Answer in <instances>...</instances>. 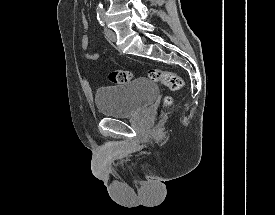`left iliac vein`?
I'll return each instance as SVG.
<instances>
[{
    "label": "left iliac vein",
    "mask_w": 275,
    "mask_h": 215,
    "mask_svg": "<svg viewBox=\"0 0 275 215\" xmlns=\"http://www.w3.org/2000/svg\"><path fill=\"white\" fill-rule=\"evenodd\" d=\"M104 32H105V35L107 36V38L112 41V42H115L116 41V34L113 30L105 27L104 28Z\"/></svg>",
    "instance_id": "left-iliac-vein-1"
}]
</instances>
